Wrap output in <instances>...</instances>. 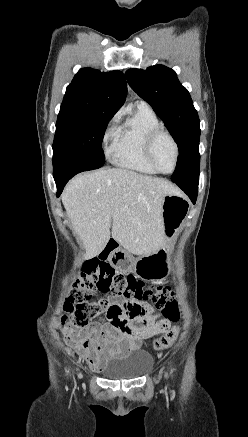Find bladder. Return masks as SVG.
<instances>
[{"instance_id":"1","label":"bladder","mask_w":248,"mask_h":437,"mask_svg":"<svg viewBox=\"0 0 248 437\" xmlns=\"http://www.w3.org/2000/svg\"><path fill=\"white\" fill-rule=\"evenodd\" d=\"M151 364L152 356L138 350L111 364L106 369L105 375L112 380L135 379L142 376Z\"/></svg>"}]
</instances>
